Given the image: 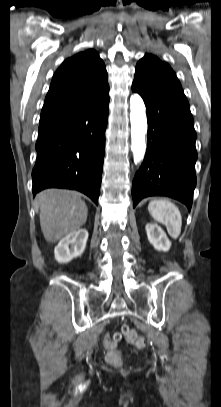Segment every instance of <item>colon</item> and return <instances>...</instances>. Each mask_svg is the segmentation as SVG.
<instances>
[{"label": "colon", "mask_w": 221, "mask_h": 407, "mask_svg": "<svg viewBox=\"0 0 221 407\" xmlns=\"http://www.w3.org/2000/svg\"><path fill=\"white\" fill-rule=\"evenodd\" d=\"M122 335L125 336L126 340L130 344L138 348H143L145 346L143 338H141L134 330L130 329L127 326L122 327L121 333H115L112 336H106L103 340V344L109 351L107 354V360L114 366H118L121 364V353L115 350V348Z\"/></svg>", "instance_id": "1"}]
</instances>
